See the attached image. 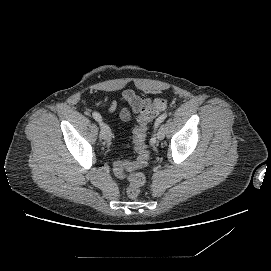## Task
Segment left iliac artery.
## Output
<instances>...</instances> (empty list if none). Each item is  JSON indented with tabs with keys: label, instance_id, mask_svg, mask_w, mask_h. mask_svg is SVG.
Segmentation results:
<instances>
[{
	"label": "left iliac artery",
	"instance_id": "1",
	"mask_svg": "<svg viewBox=\"0 0 271 271\" xmlns=\"http://www.w3.org/2000/svg\"><path fill=\"white\" fill-rule=\"evenodd\" d=\"M167 117V113H163L162 115H160L155 123H154V131H153V135L150 139V143L151 145H154L156 143V131H157V128L161 125V123L166 119Z\"/></svg>",
	"mask_w": 271,
	"mask_h": 271
}]
</instances>
